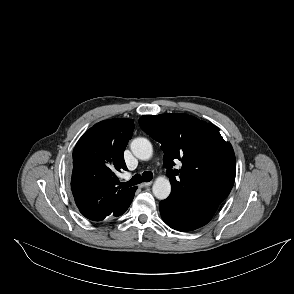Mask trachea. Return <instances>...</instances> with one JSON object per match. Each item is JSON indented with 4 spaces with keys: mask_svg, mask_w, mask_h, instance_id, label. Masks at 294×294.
I'll return each instance as SVG.
<instances>
[{
    "mask_svg": "<svg viewBox=\"0 0 294 294\" xmlns=\"http://www.w3.org/2000/svg\"><path fill=\"white\" fill-rule=\"evenodd\" d=\"M153 179V174L150 171H145L142 173V175L140 174H136L132 177L131 180H129L128 182H122L120 183L121 187H131L133 185H137L140 184L141 182H149Z\"/></svg>",
    "mask_w": 294,
    "mask_h": 294,
    "instance_id": "trachea-1",
    "label": "trachea"
}]
</instances>
